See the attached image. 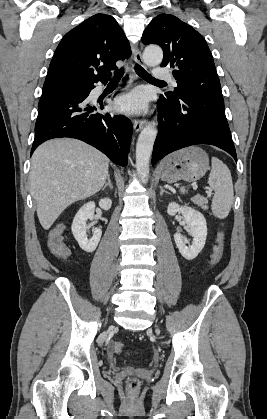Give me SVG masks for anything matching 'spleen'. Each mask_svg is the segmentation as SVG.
Wrapping results in <instances>:
<instances>
[{
  "instance_id": "3e777b00",
  "label": "spleen",
  "mask_w": 267,
  "mask_h": 419,
  "mask_svg": "<svg viewBox=\"0 0 267 419\" xmlns=\"http://www.w3.org/2000/svg\"><path fill=\"white\" fill-rule=\"evenodd\" d=\"M212 169L208 184L214 190L211 209L213 214L224 219L228 216L234 200L233 182L229 168L218 158L212 157ZM185 193V188L180 189Z\"/></svg>"
}]
</instances>
